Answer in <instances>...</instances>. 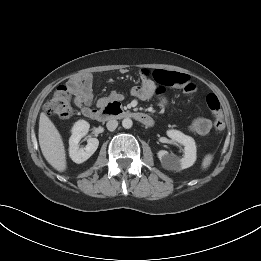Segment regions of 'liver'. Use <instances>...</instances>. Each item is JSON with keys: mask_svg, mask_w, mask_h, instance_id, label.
<instances>
[{"mask_svg": "<svg viewBox=\"0 0 261 261\" xmlns=\"http://www.w3.org/2000/svg\"><path fill=\"white\" fill-rule=\"evenodd\" d=\"M39 144L47 162L59 172L66 170V153L61 135L44 112L39 119Z\"/></svg>", "mask_w": 261, "mask_h": 261, "instance_id": "obj_1", "label": "liver"}]
</instances>
